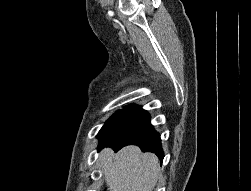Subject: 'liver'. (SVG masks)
Returning a JSON list of instances; mask_svg holds the SVG:
<instances>
[{
  "instance_id": "6515ba94",
  "label": "liver",
  "mask_w": 251,
  "mask_h": 191,
  "mask_svg": "<svg viewBox=\"0 0 251 191\" xmlns=\"http://www.w3.org/2000/svg\"><path fill=\"white\" fill-rule=\"evenodd\" d=\"M109 191H152L160 175L158 157L126 145L114 153L105 147L99 155Z\"/></svg>"
}]
</instances>
